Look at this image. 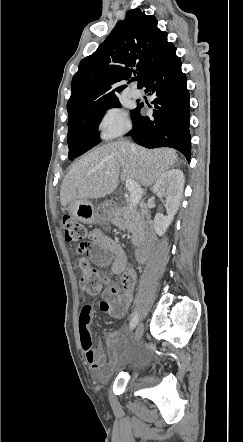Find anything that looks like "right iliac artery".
Listing matches in <instances>:
<instances>
[{
  "instance_id": "1",
  "label": "right iliac artery",
  "mask_w": 243,
  "mask_h": 442,
  "mask_svg": "<svg viewBox=\"0 0 243 442\" xmlns=\"http://www.w3.org/2000/svg\"><path fill=\"white\" fill-rule=\"evenodd\" d=\"M137 323H138V315L136 312H134V316L130 322V329L133 330L136 327Z\"/></svg>"
}]
</instances>
